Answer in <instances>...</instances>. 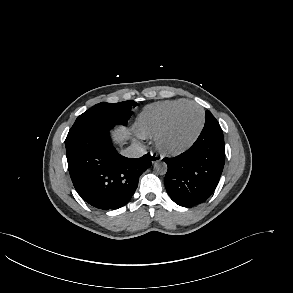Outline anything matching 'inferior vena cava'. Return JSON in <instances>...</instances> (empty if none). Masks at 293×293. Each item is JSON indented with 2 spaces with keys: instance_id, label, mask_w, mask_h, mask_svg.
<instances>
[{
  "instance_id": "602c4592",
  "label": "inferior vena cava",
  "mask_w": 293,
  "mask_h": 293,
  "mask_svg": "<svg viewBox=\"0 0 293 293\" xmlns=\"http://www.w3.org/2000/svg\"><path fill=\"white\" fill-rule=\"evenodd\" d=\"M145 153V147L139 142L133 143L129 147L122 150V154L128 158H139L142 157Z\"/></svg>"
}]
</instances>
